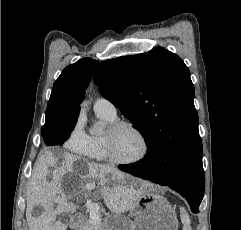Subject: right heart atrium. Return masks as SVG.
Listing matches in <instances>:
<instances>
[{"label": "right heart atrium", "instance_id": "right-heart-atrium-1", "mask_svg": "<svg viewBox=\"0 0 241 230\" xmlns=\"http://www.w3.org/2000/svg\"><path fill=\"white\" fill-rule=\"evenodd\" d=\"M90 146V136L81 123H77L65 141V147L76 154H85Z\"/></svg>", "mask_w": 241, "mask_h": 230}]
</instances>
